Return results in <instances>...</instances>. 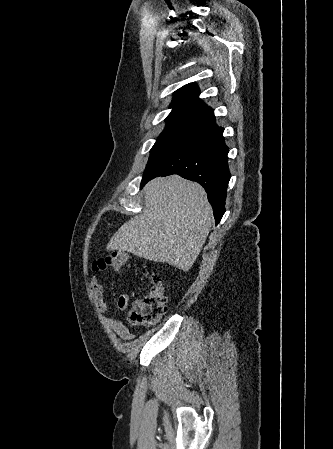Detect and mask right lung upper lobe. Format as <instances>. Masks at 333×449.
<instances>
[{
  "label": "right lung upper lobe",
  "mask_w": 333,
  "mask_h": 449,
  "mask_svg": "<svg viewBox=\"0 0 333 449\" xmlns=\"http://www.w3.org/2000/svg\"><path fill=\"white\" fill-rule=\"evenodd\" d=\"M166 118V127L182 126L205 130L215 125L214 111L199 99V89L189 83L178 89Z\"/></svg>",
  "instance_id": "cb5924a9"
}]
</instances>
